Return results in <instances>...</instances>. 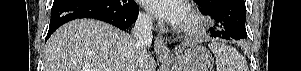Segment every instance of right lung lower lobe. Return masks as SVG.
<instances>
[{
	"instance_id": "right-lung-lower-lobe-1",
	"label": "right lung lower lobe",
	"mask_w": 301,
	"mask_h": 71,
	"mask_svg": "<svg viewBox=\"0 0 301 71\" xmlns=\"http://www.w3.org/2000/svg\"><path fill=\"white\" fill-rule=\"evenodd\" d=\"M139 8L134 0H54L46 40L64 23L78 18H94L122 30L137 19Z\"/></svg>"
}]
</instances>
